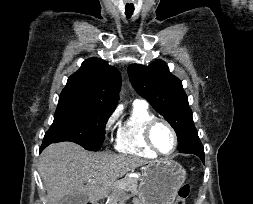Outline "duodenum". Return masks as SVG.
Listing matches in <instances>:
<instances>
[{
  "mask_svg": "<svg viewBox=\"0 0 253 204\" xmlns=\"http://www.w3.org/2000/svg\"><path fill=\"white\" fill-rule=\"evenodd\" d=\"M89 204H97V202L93 200V201L90 202Z\"/></svg>",
  "mask_w": 253,
  "mask_h": 204,
  "instance_id": "410a0bca",
  "label": "duodenum"
}]
</instances>
